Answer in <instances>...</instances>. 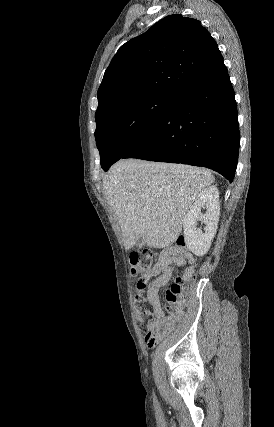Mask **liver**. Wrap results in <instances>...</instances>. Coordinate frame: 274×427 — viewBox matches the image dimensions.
Listing matches in <instances>:
<instances>
[{"mask_svg":"<svg viewBox=\"0 0 274 427\" xmlns=\"http://www.w3.org/2000/svg\"><path fill=\"white\" fill-rule=\"evenodd\" d=\"M215 178L206 168L120 160L110 168L103 188L126 249L138 237L150 247H168L181 233L185 215L198 194Z\"/></svg>","mask_w":274,"mask_h":427,"instance_id":"obj_1","label":"liver"}]
</instances>
